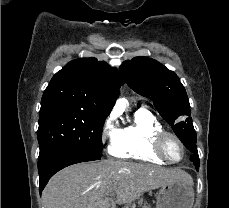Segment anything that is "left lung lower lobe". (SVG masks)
<instances>
[{
	"label": "left lung lower lobe",
	"instance_id": "obj_1",
	"mask_svg": "<svg viewBox=\"0 0 229 208\" xmlns=\"http://www.w3.org/2000/svg\"><path fill=\"white\" fill-rule=\"evenodd\" d=\"M187 149H189L193 154L190 156V161L193 162V164L196 167V170L199 171V157L196 147V141L193 142H187L183 143Z\"/></svg>",
	"mask_w": 229,
	"mask_h": 208
}]
</instances>
